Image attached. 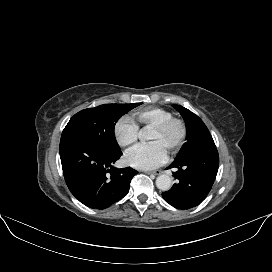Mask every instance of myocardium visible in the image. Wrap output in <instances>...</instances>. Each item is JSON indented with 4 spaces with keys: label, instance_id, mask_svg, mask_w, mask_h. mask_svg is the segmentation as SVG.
I'll return each instance as SVG.
<instances>
[{
    "label": "myocardium",
    "instance_id": "1",
    "mask_svg": "<svg viewBox=\"0 0 272 272\" xmlns=\"http://www.w3.org/2000/svg\"><path fill=\"white\" fill-rule=\"evenodd\" d=\"M172 127L177 128L178 135H177L176 139L172 143H170V145L167 148V150L170 153H174V152L178 151L182 147V145L184 144V142L186 140L187 127H186L185 122L180 118L171 117V118H168V119L162 121L161 123H159L158 125H156L152 128L154 131L164 134Z\"/></svg>",
    "mask_w": 272,
    "mask_h": 272
}]
</instances>
